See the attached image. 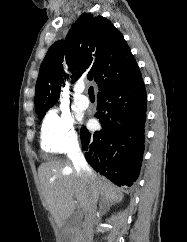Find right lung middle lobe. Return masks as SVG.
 <instances>
[{"label":"right lung middle lobe","mask_w":187,"mask_h":242,"mask_svg":"<svg viewBox=\"0 0 187 242\" xmlns=\"http://www.w3.org/2000/svg\"><path fill=\"white\" fill-rule=\"evenodd\" d=\"M45 113L46 112H43L42 114L38 115V117H39L40 120L44 117Z\"/></svg>","instance_id":"dd1d6c3e"}]
</instances>
